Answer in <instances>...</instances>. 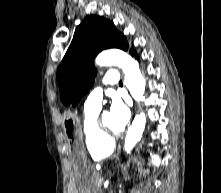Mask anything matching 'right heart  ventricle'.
Listing matches in <instances>:
<instances>
[{"label": "right heart ventricle", "mask_w": 221, "mask_h": 193, "mask_svg": "<svg viewBox=\"0 0 221 193\" xmlns=\"http://www.w3.org/2000/svg\"><path fill=\"white\" fill-rule=\"evenodd\" d=\"M99 111L84 112L82 121L83 140L88 154L93 159L109 156L114 149V142L102 137L97 128Z\"/></svg>", "instance_id": "1"}]
</instances>
